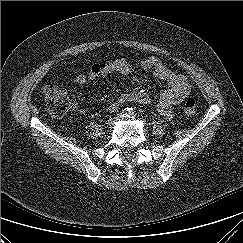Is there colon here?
Masks as SVG:
<instances>
[{
    "label": "colon",
    "mask_w": 243,
    "mask_h": 243,
    "mask_svg": "<svg viewBox=\"0 0 243 243\" xmlns=\"http://www.w3.org/2000/svg\"><path fill=\"white\" fill-rule=\"evenodd\" d=\"M42 93L49 113L56 118L64 116L70 109L71 100L68 93L53 84H46L42 88ZM197 103L194 98L186 99L183 109L185 114L194 115Z\"/></svg>",
    "instance_id": "obj_1"
}]
</instances>
